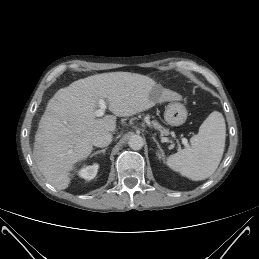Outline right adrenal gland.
<instances>
[{
	"instance_id": "right-adrenal-gland-1",
	"label": "right adrenal gland",
	"mask_w": 259,
	"mask_h": 259,
	"mask_svg": "<svg viewBox=\"0 0 259 259\" xmlns=\"http://www.w3.org/2000/svg\"><path fill=\"white\" fill-rule=\"evenodd\" d=\"M106 150H107V148H104V149H102V150H98V151L92 153V154L90 155V157H93V156H95V155H97V154H100V153L105 154Z\"/></svg>"
}]
</instances>
